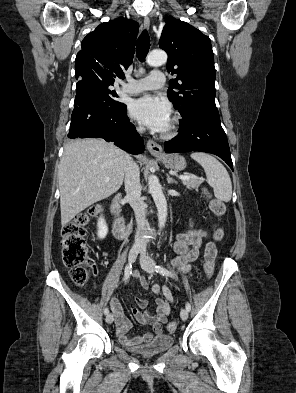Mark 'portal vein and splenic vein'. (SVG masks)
<instances>
[{"instance_id": "portal-vein-and-splenic-vein-1", "label": "portal vein and splenic vein", "mask_w": 296, "mask_h": 393, "mask_svg": "<svg viewBox=\"0 0 296 393\" xmlns=\"http://www.w3.org/2000/svg\"><path fill=\"white\" fill-rule=\"evenodd\" d=\"M179 179H181V180H187V179H189V177L186 176V175H180V176H179ZM105 181L108 182V181H109V178H106Z\"/></svg>"}]
</instances>
